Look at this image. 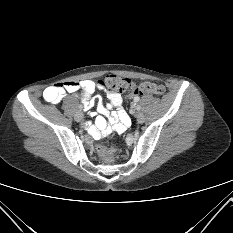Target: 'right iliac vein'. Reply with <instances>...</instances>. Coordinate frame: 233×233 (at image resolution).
Returning a JSON list of instances; mask_svg holds the SVG:
<instances>
[{
  "label": "right iliac vein",
  "instance_id": "63e3f726",
  "mask_svg": "<svg viewBox=\"0 0 233 233\" xmlns=\"http://www.w3.org/2000/svg\"><path fill=\"white\" fill-rule=\"evenodd\" d=\"M75 120L77 121V122H80V121H82L83 120V118H84V115H83V113L81 112V111H79V112H77L76 114H75Z\"/></svg>",
  "mask_w": 233,
  "mask_h": 233
}]
</instances>
